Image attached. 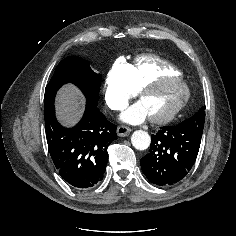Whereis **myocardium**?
Masks as SVG:
<instances>
[{
	"instance_id": "1",
	"label": "myocardium",
	"mask_w": 236,
	"mask_h": 236,
	"mask_svg": "<svg viewBox=\"0 0 236 236\" xmlns=\"http://www.w3.org/2000/svg\"><path fill=\"white\" fill-rule=\"evenodd\" d=\"M176 82L182 87V95L180 99L176 102V104L165 114H162L160 116H149V119L152 123L155 124H164L167 122H170L172 119L176 117V115L185 107L187 104L189 98H190V89L187 85V83L184 81V79L181 76H173V75H163L156 77L148 82H146L144 85L139 87L137 89V97L141 99L144 93L153 90L158 85L164 83V82Z\"/></svg>"
}]
</instances>
